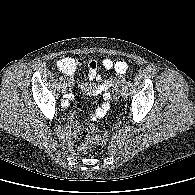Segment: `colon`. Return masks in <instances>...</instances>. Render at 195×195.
<instances>
[{"instance_id":"1","label":"colon","mask_w":195,"mask_h":195,"mask_svg":"<svg viewBox=\"0 0 195 195\" xmlns=\"http://www.w3.org/2000/svg\"><path fill=\"white\" fill-rule=\"evenodd\" d=\"M60 65H64V60H60L58 62ZM122 83V77H118L113 86V95L114 98L117 100L119 99L120 96V85ZM96 132V129L93 125H89L88 128L84 126H75L74 128V137L82 142V145L80 147L81 150H85L90 142H95V143H105L107 141L108 135L107 132H104L100 135H95L94 133ZM90 133L93 135L91 136Z\"/></svg>"}]
</instances>
